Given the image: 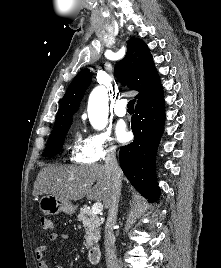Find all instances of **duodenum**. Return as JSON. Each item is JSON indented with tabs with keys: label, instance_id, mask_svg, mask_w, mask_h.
Segmentation results:
<instances>
[{
	"label": "duodenum",
	"instance_id": "410a0bca",
	"mask_svg": "<svg viewBox=\"0 0 221 268\" xmlns=\"http://www.w3.org/2000/svg\"><path fill=\"white\" fill-rule=\"evenodd\" d=\"M101 249L98 246H93L88 251V259L92 264H96L101 259Z\"/></svg>",
	"mask_w": 221,
	"mask_h": 268
}]
</instances>
